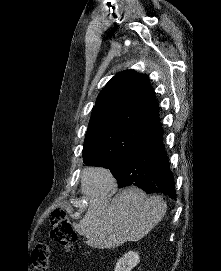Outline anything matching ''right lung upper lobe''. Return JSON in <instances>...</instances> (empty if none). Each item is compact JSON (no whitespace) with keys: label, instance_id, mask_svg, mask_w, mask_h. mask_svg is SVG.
Segmentation results:
<instances>
[{"label":"right lung upper lobe","instance_id":"cb5924a9","mask_svg":"<svg viewBox=\"0 0 221 271\" xmlns=\"http://www.w3.org/2000/svg\"><path fill=\"white\" fill-rule=\"evenodd\" d=\"M158 110L147 75L133 70L118 73L100 92L87 134L108 127L149 131L160 122Z\"/></svg>","mask_w":221,"mask_h":271}]
</instances>
